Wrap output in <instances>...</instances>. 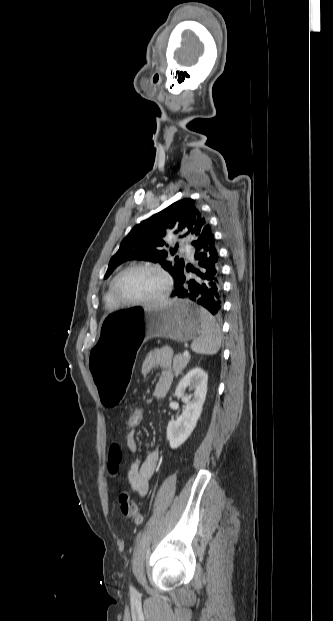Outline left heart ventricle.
<instances>
[{
	"label": "left heart ventricle",
	"instance_id": "1",
	"mask_svg": "<svg viewBox=\"0 0 333 621\" xmlns=\"http://www.w3.org/2000/svg\"><path fill=\"white\" fill-rule=\"evenodd\" d=\"M117 290L126 300L154 299L164 292L165 282L154 271L134 270L119 280Z\"/></svg>",
	"mask_w": 333,
	"mask_h": 621
}]
</instances>
